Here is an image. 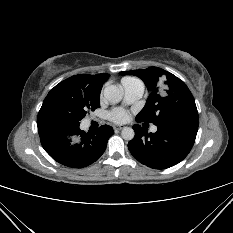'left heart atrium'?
Listing matches in <instances>:
<instances>
[{
  "label": "left heart atrium",
  "mask_w": 233,
  "mask_h": 233,
  "mask_svg": "<svg viewBox=\"0 0 233 233\" xmlns=\"http://www.w3.org/2000/svg\"><path fill=\"white\" fill-rule=\"evenodd\" d=\"M108 118L118 124L125 123L129 119V112L123 108H114L108 112Z\"/></svg>",
  "instance_id": "obj_1"
}]
</instances>
